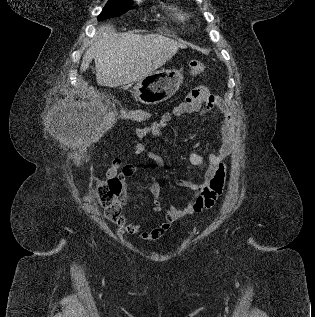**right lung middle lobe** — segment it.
Masks as SVG:
<instances>
[{
  "mask_svg": "<svg viewBox=\"0 0 315 317\" xmlns=\"http://www.w3.org/2000/svg\"><path fill=\"white\" fill-rule=\"evenodd\" d=\"M131 0H108L98 20L120 16L131 9Z\"/></svg>",
  "mask_w": 315,
  "mask_h": 317,
  "instance_id": "obj_1",
  "label": "right lung middle lobe"
}]
</instances>
